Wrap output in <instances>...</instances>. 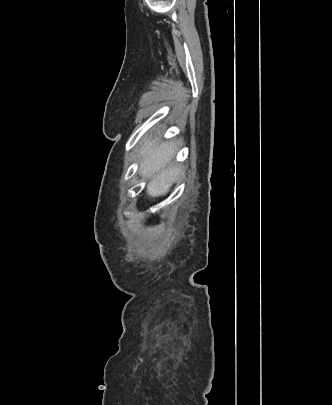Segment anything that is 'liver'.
Here are the masks:
<instances>
[{
	"mask_svg": "<svg viewBox=\"0 0 332 405\" xmlns=\"http://www.w3.org/2000/svg\"><path fill=\"white\" fill-rule=\"evenodd\" d=\"M176 153L174 142L144 137L141 142L139 173L149 180L146 192L151 197L166 195L181 175L182 168L173 164Z\"/></svg>",
	"mask_w": 332,
	"mask_h": 405,
	"instance_id": "obj_1",
	"label": "liver"
}]
</instances>
